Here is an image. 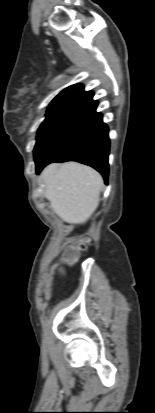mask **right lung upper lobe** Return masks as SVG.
Wrapping results in <instances>:
<instances>
[{
	"mask_svg": "<svg viewBox=\"0 0 155 413\" xmlns=\"http://www.w3.org/2000/svg\"><path fill=\"white\" fill-rule=\"evenodd\" d=\"M93 97V92L84 91L83 85L75 84L67 87L60 92L50 103L47 113L67 108V107H79L84 102Z\"/></svg>",
	"mask_w": 155,
	"mask_h": 413,
	"instance_id": "cb5924a9",
	"label": "right lung upper lobe"
}]
</instances>
